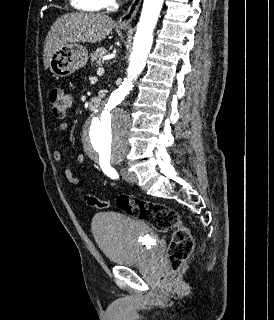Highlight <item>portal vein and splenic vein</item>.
I'll use <instances>...</instances> for the list:
<instances>
[{
	"mask_svg": "<svg viewBox=\"0 0 274 320\" xmlns=\"http://www.w3.org/2000/svg\"><path fill=\"white\" fill-rule=\"evenodd\" d=\"M97 74H104V68H98Z\"/></svg>",
	"mask_w": 274,
	"mask_h": 320,
	"instance_id": "18ae733b",
	"label": "portal vein and splenic vein"
}]
</instances>
